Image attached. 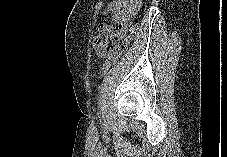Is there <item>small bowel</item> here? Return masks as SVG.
I'll return each instance as SVG.
<instances>
[{"instance_id": "1", "label": "small bowel", "mask_w": 227, "mask_h": 157, "mask_svg": "<svg viewBox=\"0 0 227 157\" xmlns=\"http://www.w3.org/2000/svg\"><path fill=\"white\" fill-rule=\"evenodd\" d=\"M141 1L142 0H113L107 5L104 14H111L114 20L119 22V37L124 35L129 25L130 18L140 8Z\"/></svg>"}]
</instances>
